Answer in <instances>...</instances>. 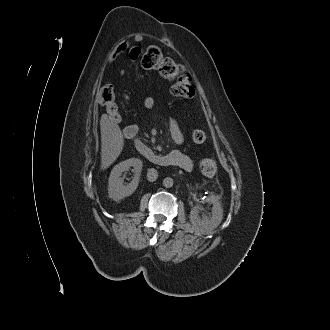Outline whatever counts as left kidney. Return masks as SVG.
I'll return each mask as SVG.
<instances>
[{
  "label": "left kidney",
  "mask_w": 330,
  "mask_h": 330,
  "mask_svg": "<svg viewBox=\"0 0 330 330\" xmlns=\"http://www.w3.org/2000/svg\"><path fill=\"white\" fill-rule=\"evenodd\" d=\"M209 200L213 204L212 213L210 216L204 214L201 218L199 216L201 207L198 205L193 207L190 212V222L194 229L201 234H209L212 232L219 226L223 219V209L219 201L214 197H211Z\"/></svg>",
  "instance_id": "left-kidney-1"
}]
</instances>
